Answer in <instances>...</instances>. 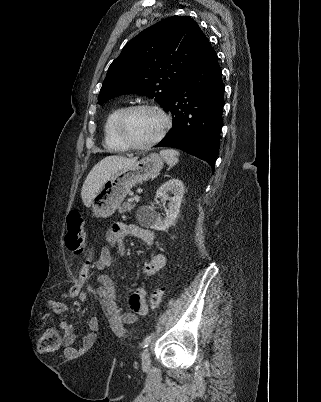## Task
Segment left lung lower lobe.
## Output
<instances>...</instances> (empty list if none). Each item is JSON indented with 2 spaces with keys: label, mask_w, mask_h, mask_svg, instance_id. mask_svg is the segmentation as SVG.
Listing matches in <instances>:
<instances>
[{
  "label": "left lung lower lobe",
  "mask_w": 321,
  "mask_h": 402,
  "mask_svg": "<svg viewBox=\"0 0 321 402\" xmlns=\"http://www.w3.org/2000/svg\"><path fill=\"white\" fill-rule=\"evenodd\" d=\"M224 83L217 54L208 42L203 53L174 90L167 110L172 130L156 147H174L214 164L223 125Z\"/></svg>",
  "instance_id": "left-lung-lower-lobe-1"
}]
</instances>
